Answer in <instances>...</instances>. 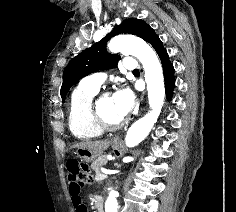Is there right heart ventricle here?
Segmentation results:
<instances>
[{"label":"right heart ventricle","instance_id":"right-heart-ventricle-1","mask_svg":"<svg viewBox=\"0 0 236 212\" xmlns=\"http://www.w3.org/2000/svg\"><path fill=\"white\" fill-rule=\"evenodd\" d=\"M98 90L99 88L88 87L81 82L71 94L68 123L70 131L78 139H94L104 133L92 112V100Z\"/></svg>","mask_w":236,"mask_h":212}]
</instances>
